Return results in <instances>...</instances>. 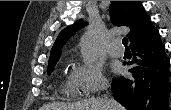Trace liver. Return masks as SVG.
I'll list each match as a JSON object with an SVG mask.
<instances>
[{
	"mask_svg": "<svg viewBox=\"0 0 171 110\" xmlns=\"http://www.w3.org/2000/svg\"><path fill=\"white\" fill-rule=\"evenodd\" d=\"M40 110H124L114 99L91 98L79 103L54 102L43 105Z\"/></svg>",
	"mask_w": 171,
	"mask_h": 110,
	"instance_id": "6515ba94",
	"label": "liver"
}]
</instances>
